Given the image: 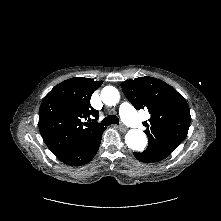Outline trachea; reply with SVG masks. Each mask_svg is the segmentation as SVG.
I'll list each match as a JSON object with an SVG mask.
<instances>
[{"label":"trachea","instance_id":"1","mask_svg":"<svg viewBox=\"0 0 221 221\" xmlns=\"http://www.w3.org/2000/svg\"><path fill=\"white\" fill-rule=\"evenodd\" d=\"M111 124H119V119L117 118V116L109 115L106 118H104L100 123L101 126H109Z\"/></svg>","mask_w":221,"mask_h":221}]
</instances>
